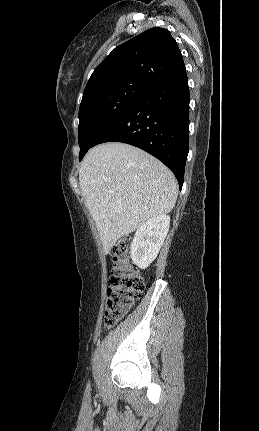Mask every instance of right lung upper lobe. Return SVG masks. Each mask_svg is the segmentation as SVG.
<instances>
[{
    "label": "right lung upper lobe",
    "mask_w": 259,
    "mask_h": 431,
    "mask_svg": "<svg viewBox=\"0 0 259 431\" xmlns=\"http://www.w3.org/2000/svg\"><path fill=\"white\" fill-rule=\"evenodd\" d=\"M186 71L171 33L151 28L116 47L94 70L83 98L127 84L146 88Z\"/></svg>",
    "instance_id": "1"
}]
</instances>
